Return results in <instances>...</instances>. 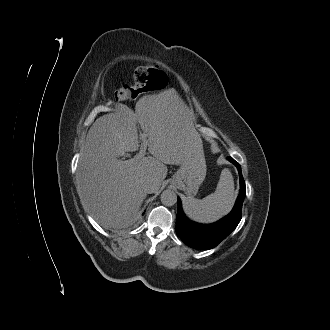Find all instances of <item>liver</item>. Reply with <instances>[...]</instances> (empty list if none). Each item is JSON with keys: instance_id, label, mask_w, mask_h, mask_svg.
I'll return each mask as SVG.
<instances>
[{"instance_id": "6515ba94", "label": "liver", "mask_w": 330, "mask_h": 330, "mask_svg": "<svg viewBox=\"0 0 330 330\" xmlns=\"http://www.w3.org/2000/svg\"><path fill=\"white\" fill-rule=\"evenodd\" d=\"M137 123L151 156L119 161L125 152L139 149ZM201 150L191 112L168 97H143L135 112L103 115L90 127L79 160L76 181L82 204L104 228L129 227L147 196L144 182L154 179L157 192L167 176V164L181 165Z\"/></svg>"}]
</instances>
